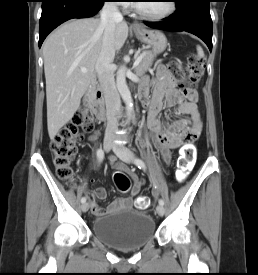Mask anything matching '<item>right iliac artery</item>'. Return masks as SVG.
Listing matches in <instances>:
<instances>
[{
    "label": "right iliac artery",
    "instance_id": "1",
    "mask_svg": "<svg viewBox=\"0 0 258 275\" xmlns=\"http://www.w3.org/2000/svg\"><path fill=\"white\" fill-rule=\"evenodd\" d=\"M97 159L99 162H102L104 159V151L102 150V148L97 150ZM81 202L82 203L86 202V198L82 197Z\"/></svg>",
    "mask_w": 258,
    "mask_h": 275
}]
</instances>
